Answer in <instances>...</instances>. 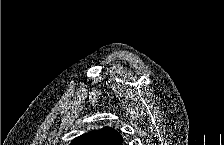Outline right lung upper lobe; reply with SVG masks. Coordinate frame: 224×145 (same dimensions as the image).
Segmentation results:
<instances>
[{
  "label": "right lung upper lobe",
  "mask_w": 224,
  "mask_h": 145,
  "mask_svg": "<svg viewBox=\"0 0 224 145\" xmlns=\"http://www.w3.org/2000/svg\"><path fill=\"white\" fill-rule=\"evenodd\" d=\"M122 137L114 128L104 127L75 138L71 145H122Z\"/></svg>",
  "instance_id": "cb5924a9"
}]
</instances>
